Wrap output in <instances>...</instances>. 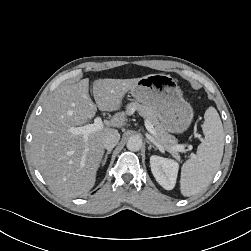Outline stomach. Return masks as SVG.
Instances as JSON below:
<instances>
[{"label": "stomach", "mask_w": 251, "mask_h": 251, "mask_svg": "<svg viewBox=\"0 0 251 251\" xmlns=\"http://www.w3.org/2000/svg\"><path fill=\"white\" fill-rule=\"evenodd\" d=\"M130 94L137 102L156 110L161 124L169 132L183 133L193 120L192 106L170 75L150 74L139 78Z\"/></svg>", "instance_id": "stomach-1"}]
</instances>
